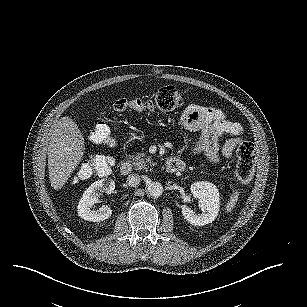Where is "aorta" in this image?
<instances>
[{
    "label": "aorta",
    "mask_w": 307,
    "mask_h": 307,
    "mask_svg": "<svg viewBox=\"0 0 307 307\" xmlns=\"http://www.w3.org/2000/svg\"><path fill=\"white\" fill-rule=\"evenodd\" d=\"M147 194L150 197L158 198L163 194V186L160 182L152 181L147 184Z\"/></svg>",
    "instance_id": "obj_1"
}]
</instances>
